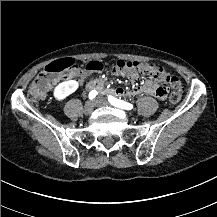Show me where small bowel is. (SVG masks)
<instances>
[{
	"label": "small bowel",
	"instance_id": "c3829d8e",
	"mask_svg": "<svg viewBox=\"0 0 217 217\" xmlns=\"http://www.w3.org/2000/svg\"><path fill=\"white\" fill-rule=\"evenodd\" d=\"M80 70L76 69L74 70L71 74L69 75H61L59 78L64 79V78H76L80 75ZM114 76H122L119 73H113ZM141 92H145L148 94H151L155 97L161 98L165 95V89L163 88H157L155 83L153 82H148L144 84L143 86H136L130 89L122 88V87H116L113 89V93L117 96H131V95H136Z\"/></svg>",
	"mask_w": 217,
	"mask_h": 217
}]
</instances>
